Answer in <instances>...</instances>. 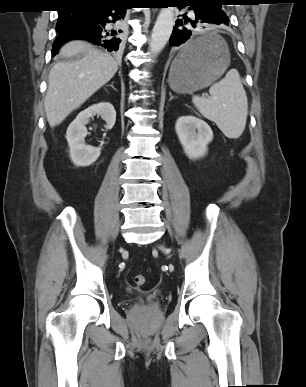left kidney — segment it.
<instances>
[{"label": "left kidney", "instance_id": "obj_1", "mask_svg": "<svg viewBox=\"0 0 306 387\" xmlns=\"http://www.w3.org/2000/svg\"><path fill=\"white\" fill-rule=\"evenodd\" d=\"M176 134L190 159H198L207 153V145L213 140L210 126L203 120L186 115L177 119Z\"/></svg>", "mask_w": 306, "mask_h": 387}]
</instances>
